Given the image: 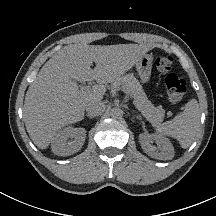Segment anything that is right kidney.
I'll use <instances>...</instances> for the list:
<instances>
[{
    "mask_svg": "<svg viewBox=\"0 0 216 216\" xmlns=\"http://www.w3.org/2000/svg\"><path fill=\"white\" fill-rule=\"evenodd\" d=\"M85 138L86 130L84 128L66 127L54 136L51 142L52 152L58 156L72 155L82 148Z\"/></svg>",
    "mask_w": 216,
    "mask_h": 216,
    "instance_id": "1",
    "label": "right kidney"
}]
</instances>
